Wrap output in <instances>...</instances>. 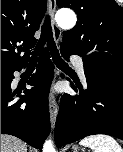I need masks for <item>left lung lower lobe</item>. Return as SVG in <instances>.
I'll return each mask as SVG.
<instances>
[{"instance_id":"0a47b994","label":"left lung lower lobe","mask_w":123,"mask_h":152,"mask_svg":"<svg viewBox=\"0 0 123 152\" xmlns=\"http://www.w3.org/2000/svg\"><path fill=\"white\" fill-rule=\"evenodd\" d=\"M63 57L73 54L60 47ZM84 64L87 89L76 84L80 95H63L55 127L59 148L95 134L123 140V74L93 69ZM76 91L77 89L72 85Z\"/></svg>"}]
</instances>
